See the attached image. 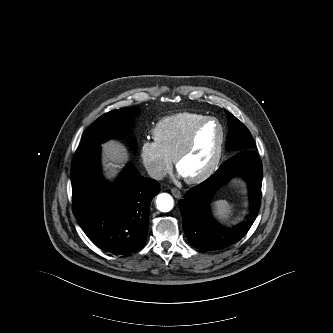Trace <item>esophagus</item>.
I'll return each mask as SVG.
<instances>
[{
    "instance_id": "obj_1",
    "label": "esophagus",
    "mask_w": 333,
    "mask_h": 333,
    "mask_svg": "<svg viewBox=\"0 0 333 333\" xmlns=\"http://www.w3.org/2000/svg\"><path fill=\"white\" fill-rule=\"evenodd\" d=\"M171 193L177 199H179L181 197V192L178 189H176V188H172L171 189Z\"/></svg>"
}]
</instances>
